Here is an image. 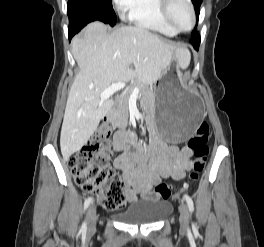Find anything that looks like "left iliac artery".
I'll use <instances>...</instances> for the list:
<instances>
[{
    "label": "left iliac artery",
    "mask_w": 264,
    "mask_h": 247,
    "mask_svg": "<svg viewBox=\"0 0 264 247\" xmlns=\"http://www.w3.org/2000/svg\"><path fill=\"white\" fill-rule=\"evenodd\" d=\"M183 198L187 202V205H188V208H189V212L192 213L193 210H194V204H193L192 198L189 195H187V194H185L183 196Z\"/></svg>",
    "instance_id": "obj_1"
}]
</instances>
